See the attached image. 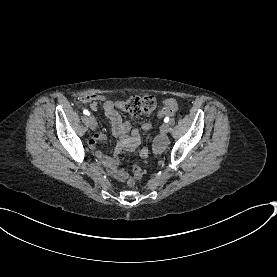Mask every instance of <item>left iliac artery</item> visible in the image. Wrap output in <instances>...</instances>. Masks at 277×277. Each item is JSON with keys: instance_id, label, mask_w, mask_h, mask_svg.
Returning a JSON list of instances; mask_svg holds the SVG:
<instances>
[{"instance_id": "1", "label": "left iliac artery", "mask_w": 277, "mask_h": 277, "mask_svg": "<svg viewBox=\"0 0 277 277\" xmlns=\"http://www.w3.org/2000/svg\"><path fill=\"white\" fill-rule=\"evenodd\" d=\"M169 121V117H165L164 122L167 123Z\"/></svg>"}]
</instances>
